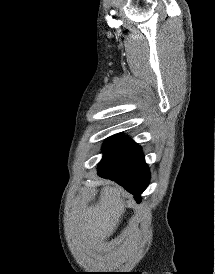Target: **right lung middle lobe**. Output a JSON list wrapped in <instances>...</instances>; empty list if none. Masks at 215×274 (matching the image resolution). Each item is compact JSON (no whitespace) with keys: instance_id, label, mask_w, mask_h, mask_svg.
<instances>
[{"instance_id":"obj_1","label":"right lung middle lobe","mask_w":215,"mask_h":274,"mask_svg":"<svg viewBox=\"0 0 215 274\" xmlns=\"http://www.w3.org/2000/svg\"><path fill=\"white\" fill-rule=\"evenodd\" d=\"M136 143L122 134H116L106 139L103 144V158L101 164L105 167H110L117 163L135 147Z\"/></svg>"}]
</instances>
